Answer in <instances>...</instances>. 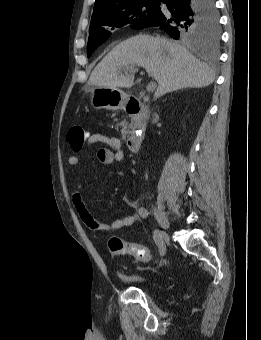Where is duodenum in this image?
<instances>
[{"instance_id":"1","label":"duodenum","mask_w":261,"mask_h":340,"mask_svg":"<svg viewBox=\"0 0 261 340\" xmlns=\"http://www.w3.org/2000/svg\"><path fill=\"white\" fill-rule=\"evenodd\" d=\"M126 111L134 117V132L127 138L126 145L131 152L137 153L145 131L146 105L138 99H131L126 103Z\"/></svg>"}]
</instances>
